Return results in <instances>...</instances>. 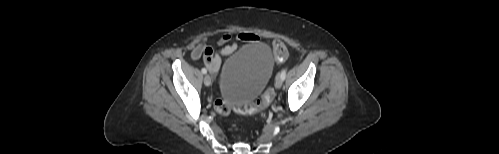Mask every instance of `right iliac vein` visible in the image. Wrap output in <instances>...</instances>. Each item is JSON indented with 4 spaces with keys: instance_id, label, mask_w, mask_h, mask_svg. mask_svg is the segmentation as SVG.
<instances>
[{
    "instance_id": "obj_1",
    "label": "right iliac vein",
    "mask_w": 499,
    "mask_h": 154,
    "mask_svg": "<svg viewBox=\"0 0 499 154\" xmlns=\"http://www.w3.org/2000/svg\"><path fill=\"white\" fill-rule=\"evenodd\" d=\"M204 84L205 86H210L211 85V77L209 74H206L205 77H204Z\"/></svg>"
}]
</instances>
